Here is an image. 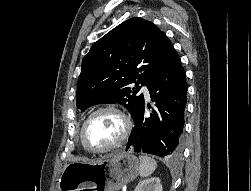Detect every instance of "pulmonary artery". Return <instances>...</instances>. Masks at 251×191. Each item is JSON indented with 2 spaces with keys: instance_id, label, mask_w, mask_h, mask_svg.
<instances>
[{
  "instance_id": "obj_1",
  "label": "pulmonary artery",
  "mask_w": 251,
  "mask_h": 191,
  "mask_svg": "<svg viewBox=\"0 0 251 191\" xmlns=\"http://www.w3.org/2000/svg\"><path fill=\"white\" fill-rule=\"evenodd\" d=\"M141 91L143 92V94H144V96H145L146 98H149V92H148L147 87L143 86V87L141 88Z\"/></svg>"
}]
</instances>
